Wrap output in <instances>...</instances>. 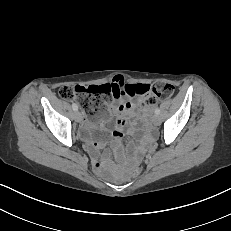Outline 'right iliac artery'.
I'll return each instance as SVG.
<instances>
[{
	"instance_id": "1",
	"label": "right iliac artery",
	"mask_w": 231,
	"mask_h": 231,
	"mask_svg": "<svg viewBox=\"0 0 231 231\" xmlns=\"http://www.w3.org/2000/svg\"><path fill=\"white\" fill-rule=\"evenodd\" d=\"M72 108H73L74 111L78 110V106L75 103L72 104Z\"/></svg>"
}]
</instances>
